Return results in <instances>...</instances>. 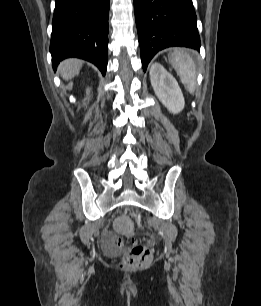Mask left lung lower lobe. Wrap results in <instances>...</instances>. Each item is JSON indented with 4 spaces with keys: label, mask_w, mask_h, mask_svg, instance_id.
Listing matches in <instances>:
<instances>
[{
    "label": "left lung lower lobe",
    "mask_w": 261,
    "mask_h": 306,
    "mask_svg": "<svg viewBox=\"0 0 261 306\" xmlns=\"http://www.w3.org/2000/svg\"><path fill=\"white\" fill-rule=\"evenodd\" d=\"M134 9L144 71L167 47L200 49L192 0H134Z\"/></svg>",
    "instance_id": "0a47b994"
}]
</instances>
